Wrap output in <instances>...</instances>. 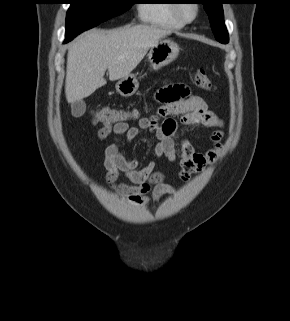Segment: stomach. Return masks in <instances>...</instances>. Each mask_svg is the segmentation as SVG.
Segmentation results:
<instances>
[{"label": "stomach", "mask_w": 290, "mask_h": 321, "mask_svg": "<svg viewBox=\"0 0 290 321\" xmlns=\"http://www.w3.org/2000/svg\"><path fill=\"white\" fill-rule=\"evenodd\" d=\"M178 54L179 46L175 42L169 39H160L150 48L148 62L153 70H158L175 60ZM115 87L121 96L129 97L137 91L139 82L135 75L130 74L120 79Z\"/></svg>", "instance_id": "stomach-1"}]
</instances>
